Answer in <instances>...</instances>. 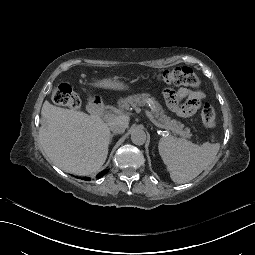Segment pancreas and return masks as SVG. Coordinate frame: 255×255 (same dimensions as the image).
Segmentation results:
<instances>
[{"label": "pancreas", "mask_w": 255, "mask_h": 255, "mask_svg": "<svg viewBox=\"0 0 255 255\" xmlns=\"http://www.w3.org/2000/svg\"><path fill=\"white\" fill-rule=\"evenodd\" d=\"M150 95L143 93V94H136V95H131L128 96L127 98H120L118 101L119 109L123 110H128L131 107L137 109L138 106H144L147 101L149 100ZM153 101V108L151 110V114L159 121L161 124H168V126H173V131L174 128H179V131H182L183 124L180 122H177L176 120H170L169 117H167L164 114V111L161 107V105L152 98ZM189 129L186 128V134L189 133ZM179 134V133H178ZM190 137L191 134H188Z\"/></svg>", "instance_id": "1"}]
</instances>
